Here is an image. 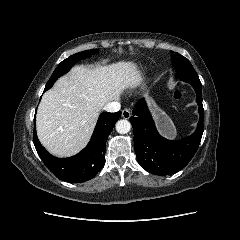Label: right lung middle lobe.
<instances>
[{
	"instance_id": "dd1d6c3e",
	"label": "right lung middle lobe",
	"mask_w": 240,
	"mask_h": 240,
	"mask_svg": "<svg viewBox=\"0 0 240 240\" xmlns=\"http://www.w3.org/2000/svg\"><path fill=\"white\" fill-rule=\"evenodd\" d=\"M97 52V49H92V50H86V51H82L79 52L77 54L71 55L70 57H68L67 59L63 60L55 69V71L53 72L52 76L50 77L48 83L46 84L45 90H48L49 88L52 87V85L54 84V82L60 77L62 76L64 73H67L71 67L78 62L81 59H85L87 57H90L91 55H93L94 53Z\"/></svg>"
}]
</instances>
